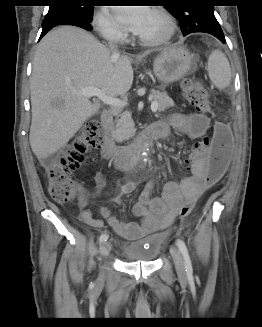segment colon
Wrapping results in <instances>:
<instances>
[{
	"label": "colon",
	"instance_id": "1",
	"mask_svg": "<svg viewBox=\"0 0 262 327\" xmlns=\"http://www.w3.org/2000/svg\"><path fill=\"white\" fill-rule=\"evenodd\" d=\"M182 91L186 100L199 112L208 115L211 105L208 93L202 82L186 78L182 82ZM103 127L99 120L88 121L74 138L67 150L49 169L47 187L50 196L57 202L74 200L80 194L73 173L85 161L87 154L100 148L104 142ZM232 134L225 123L215 124L213 134L197 142L190 150L191 154L203 156L207 162L206 180L209 185L217 183L225 174L231 152ZM195 202L186 201L179 209L180 217H187Z\"/></svg>",
	"mask_w": 262,
	"mask_h": 327
}]
</instances>
